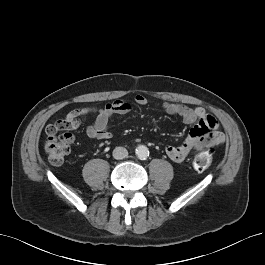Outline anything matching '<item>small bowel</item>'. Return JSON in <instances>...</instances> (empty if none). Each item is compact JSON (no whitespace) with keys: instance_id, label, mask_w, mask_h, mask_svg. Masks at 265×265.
<instances>
[{"instance_id":"small-bowel-1","label":"small bowel","mask_w":265,"mask_h":265,"mask_svg":"<svg viewBox=\"0 0 265 265\" xmlns=\"http://www.w3.org/2000/svg\"><path fill=\"white\" fill-rule=\"evenodd\" d=\"M135 103L138 106H145L148 104L146 97L137 95ZM163 109L172 116H179L187 124L196 123L190 130L188 136L179 145H168L165 148L167 156L176 163H181L185 160L187 155L196 149L205 146L221 145L225 141L224 134L219 129V124L209 115L203 108H191L187 105L177 103H164ZM132 105L124 101H115L108 104L104 108H81L73 109L67 117L74 122V128L80 124L79 117L84 114L96 113L94 123L87 127L86 134L91 139L104 140L111 137L109 131L110 120L114 115L122 116L132 110ZM211 133L208 136V133Z\"/></svg>"}]
</instances>
